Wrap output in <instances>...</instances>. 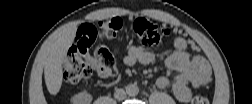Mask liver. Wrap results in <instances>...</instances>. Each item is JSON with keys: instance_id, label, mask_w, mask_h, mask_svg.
Returning a JSON list of instances; mask_svg holds the SVG:
<instances>
[{"instance_id": "liver-1", "label": "liver", "mask_w": 252, "mask_h": 104, "mask_svg": "<svg viewBox=\"0 0 252 104\" xmlns=\"http://www.w3.org/2000/svg\"><path fill=\"white\" fill-rule=\"evenodd\" d=\"M76 25H71L58 31L46 51L44 78L46 87L51 95H56L63 81L62 64L67 56V51L71 47Z\"/></svg>"}]
</instances>
